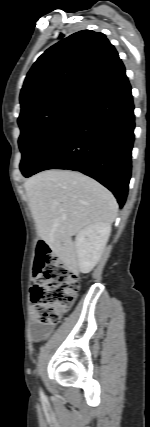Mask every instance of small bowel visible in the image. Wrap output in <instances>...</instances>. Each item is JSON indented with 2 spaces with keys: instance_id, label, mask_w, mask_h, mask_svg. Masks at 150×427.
<instances>
[{
  "instance_id": "1",
  "label": "small bowel",
  "mask_w": 150,
  "mask_h": 427,
  "mask_svg": "<svg viewBox=\"0 0 150 427\" xmlns=\"http://www.w3.org/2000/svg\"><path fill=\"white\" fill-rule=\"evenodd\" d=\"M50 334V329L39 325H34L30 329V337L34 342L46 339Z\"/></svg>"
}]
</instances>
